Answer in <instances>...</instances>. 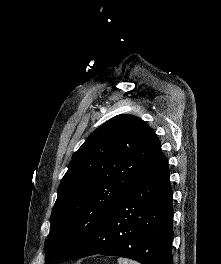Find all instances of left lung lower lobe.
<instances>
[{
	"mask_svg": "<svg viewBox=\"0 0 221 264\" xmlns=\"http://www.w3.org/2000/svg\"><path fill=\"white\" fill-rule=\"evenodd\" d=\"M172 221V189L163 155L65 258L101 254L142 264H172Z\"/></svg>",
	"mask_w": 221,
	"mask_h": 264,
	"instance_id": "obj_1",
	"label": "left lung lower lobe"
}]
</instances>
